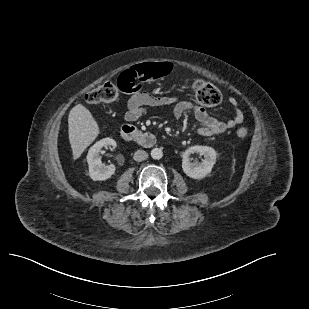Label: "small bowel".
<instances>
[{
    "label": "small bowel",
    "mask_w": 309,
    "mask_h": 309,
    "mask_svg": "<svg viewBox=\"0 0 309 309\" xmlns=\"http://www.w3.org/2000/svg\"><path fill=\"white\" fill-rule=\"evenodd\" d=\"M124 86L132 89L131 92H128L132 95L127 100L124 114V119L129 122L136 121L145 115L149 108L171 106L172 115L177 119L186 113H192L196 120L203 125L198 130L199 135L210 137L220 135L226 130L240 125L244 120L238 101L233 97L228 99V103L234 109L235 115L224 121L213 117L205 108L197 105L194 101L179 100L175 96H156L144 90L133 89L134 85L127 78Z\"/></svg>",
    "instance_id": "c3829d8e"
}]
</instances>
